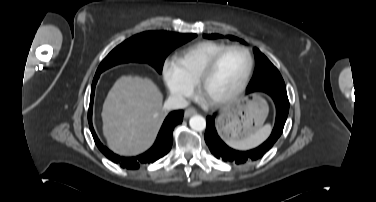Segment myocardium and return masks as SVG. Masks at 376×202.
<instances>
[{"instance_id": "obj_1", "label": "myocardium", "mask_w": 376, "mask_h": 202, "mask_svg": "<svg viewBox=\"0 0 376 202\" xmlns=\"http://www.w3.org/2000/svg\"><path fill=\"white\" fill-rule=\"evenodd\" d=\"M231 50H240L242 51L246 56L248 60L247 68L245 71V74L243 75L240 83L237 85L235 89H233L228 94L218 97V98H212L207 94V83L215 69L217 68L218 64L220 63L221 59L224 57V55L231 51ZM254 65V58L251 54L250 50L242 45H229L219 51L204 67L202 70L198 81H197V87L200 95L202 98L211 106L213 107H221L231 101H233L236 97H238L245 87L247 86V83L249 81V78L251 76L252 70Z\"/></svg>"}]
</instances>
